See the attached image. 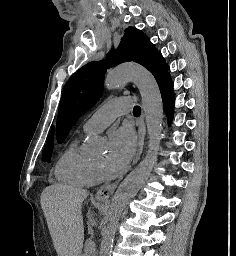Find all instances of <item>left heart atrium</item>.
<instances>
[{
  "label": "left heart atrium",
  "instance_id": "39dd6f15",
  "mask_svg": "<svg viewBox=\"0 0 236 256\" xmlns=\"http://www.w3.org/2000/svg\"><path fill=\"white\" fill-rule=\"evenodd\" d=\"M110 147L106 158V165L110 171L123 169L134 154L136 138L129 127H121L110 134Z\"/></svg>",
  "mask_w": 236,
  "mask_h": 256
}]
</instances>
